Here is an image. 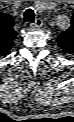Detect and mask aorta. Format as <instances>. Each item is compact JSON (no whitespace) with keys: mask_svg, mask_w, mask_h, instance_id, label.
I'll use <instances>...</instances> for the list:
<instances>
[{"mask_svg":"<svg viewBox=\"0 0 74 122\" xmlns=\"http://www.w3.org/2000/svg\"><path fill=\"white\" fill-rule=\"evenodd\" d=\"M36 7L38 10H44V4H38Z\"/></svg>","mask_w":74,"mask_h":122,"instance_id":"obj_1","label":"aorta"}]
</instances>
